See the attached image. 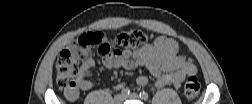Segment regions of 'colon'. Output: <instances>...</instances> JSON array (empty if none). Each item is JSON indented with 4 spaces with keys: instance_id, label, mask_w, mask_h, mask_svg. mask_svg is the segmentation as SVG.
Returning <instances> with one entry per match:
<instances>
[{
    "instance_id": "colon-1",
    "label": "colon",
    "mask_w": 252,
    "mask_h": 104,
    "mask_svg": "<svg viewBox=\"0 0 252 104\" xmlns=\"http://www.w3.org/2000/svg\"><path fill=\"white\" fill-rule=\"evenodd\" d=\"M148 41V35L141 29H129L118 33L114 39L101 32H88L64 49L56 62V81L65 96L74 100L79 95V84L89 74L84 61L92 58L93 53L102 59L108 58L116 47L135 49ZM197 77L189 75L184 84V94L195 99L200 92Z\"/></svg>"
}]
</instances>
